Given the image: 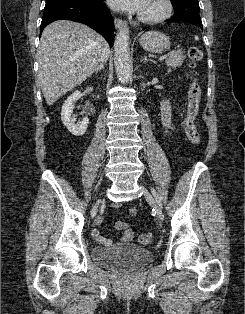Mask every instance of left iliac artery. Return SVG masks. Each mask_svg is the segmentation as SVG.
<instances>
[{
	"label": "left iliac artery",
	"instance_id": "left-iliac-artery-1",
	"mask_svg": "<svg viewBox=\"0 0 245 314\" xmlns=\"http://www.w3.org/2000/svg\"><path fill=\"white\" fill-rule=\"evenodd\" d=\"M151 192L152 194L154 195L156 201L159 203V205L162 207V204H161V200H160V197L158 196L156 190L154 188L151 189Z\"/></svg>",
	"mask_w": 245,
	"mask_h": 314
}]
</instances>
